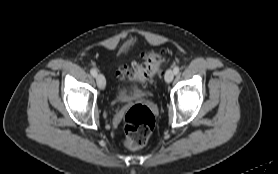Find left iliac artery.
Returning a JSON list of instances; mask_svg holds the SVG:
<instances>
[{
	"label": "left iliac artery",
	"mask_w": 278,
	"mask_h": 174,
	"mask_svg": "<svg viewBox=\"0 0 278 174\" xmlns=\"http://www.w3.org/2000/svg\"><path fill=\"white\" fill-rule=\"evenodd\" d=\"M180 71V68L178 66L174 67L173 72L174 74H178Z\"/></svg>",
	"instance_id": "left-iliac-artery-1"
}]
</instances>
